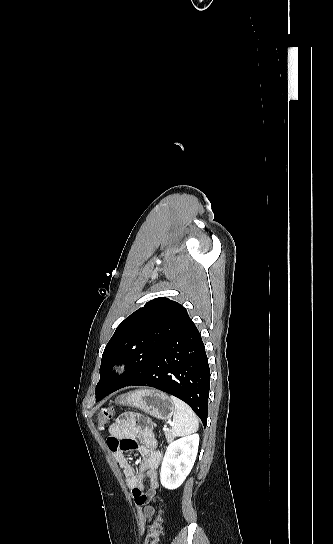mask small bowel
<instances>
[{"instance_id": "1", "label": "small bowel", "mask_w": 333, "mask_h": 544, "mask_svg": "<svg viewBox=\"0 0 333 544\" xmlns=\"http://www.w3.org/2000/svg\"><path fill=\"white\" fill-rule=\"evenodd\" d=\"M109 434L107 446L122 469L125 482L138 506L139 526L143 531L154 514L153 507L145 504L148 497L153 495L159 486L158 468L161 461V453L158 450L151 422L145 416L126 413L110 425ZM132 450H137L142 455L138 472L125 455L126 452ZM145 478L148 479L149 491L144 489Z\"/></svg>"}]
</instances>
